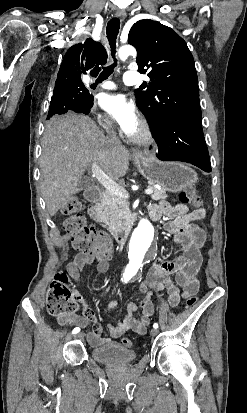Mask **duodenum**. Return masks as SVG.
<instances>
[{
	"label": "duodenum",
	"mask_w": 247,
	"mask_h": 413,
	"mask_svg": "<svg viewBox=\"0 0 247 413\" xmlns=\"http://www.w3.org/2000/svg\"><path fill=\"white\" fill-rule=\"evenodd\" d=\"M85 197L92 204V207L90 209V216L95 221H99L103 207V189L99 186H92L86 191ZM130 227L131 223L123 228L112 230L111 233L117 245L125 244Z\"/></svg>",
	"instance_id": "1"
}]
</instances>
